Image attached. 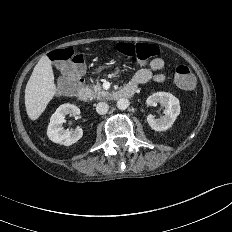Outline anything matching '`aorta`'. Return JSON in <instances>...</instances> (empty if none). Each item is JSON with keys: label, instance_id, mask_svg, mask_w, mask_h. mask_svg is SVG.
Listing matches in <instances>:
<instances>
[{"label": "aorta", "instance_id": "obj_1", "mask_svg": "<svg viewBox=\"0 0 232 232\" xmlns=\"http://www.w3.org/2000/svg\"><path fill=\"white\" fill-rule=\"evenodd\" d=\"M129 100L126 98H121L117 101V108L119 110H126L129 106Z\"/></svg>", "mask_w": 232, "mask_h": 232}]
</instances>
